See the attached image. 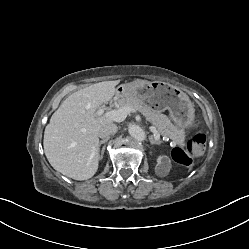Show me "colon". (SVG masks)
Masks as SVG:
<instances>
[{
  "instance_id": "5ec220e1",
  "label": "colon",
  "mask_w": 249,
  "mask_h": 249,
  "mask_svg": "<svg viewBox=\"0 0 249 249\" xmlns=\"http://www.w3.org/2000/svg\"><path fill=\"white\" fill-rule=\"evenodd\" d=\"M205 146L206 136L203 133H196L188 142L187 153L182 149L176 148L172 151V158L176 163L187 166L191 163L190 156H201L205 151Z\"/></svg>"
}]
</instances>
